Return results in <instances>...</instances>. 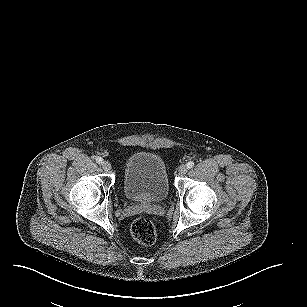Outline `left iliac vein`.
Here are the masks:
<instances>
[{
    "label": "left iliac vein",
    "mask_w": 307,
    "mask_h": 307,
    "mask_svg": "<svg viewBox=\"0 0 307 307\" xmlns=\"http://www.w3.org/2000/svg\"><path fill=\"white\" fill-rule=\"evenodd\" d=\"M187 170H188V167L186 165H181L178 168V173H179V175H184V174H186Z\"/></svg>",
    "instance_id": "1"
}]
</instances>
